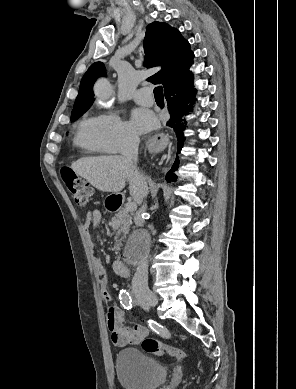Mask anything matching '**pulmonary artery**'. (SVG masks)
Masks as SVG:
<instances>
[{
  "instance_id": "obj_1",
  "label": "pulmonary artery",
  "mask_w": 296,
  "mask_h": 389,
  "mask_svg": "<svg viewBox=\"0 0 296 389\" xmlns=\"http://www.w3.org/2000/svg\"><path fill=\"white\" fill-rule=\"evenodd\" d=\"M133 98L140 105L150 106L153 103L151 91L147 87L136 90Z\"/></svg>"
}]
</instances>
